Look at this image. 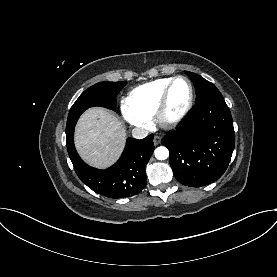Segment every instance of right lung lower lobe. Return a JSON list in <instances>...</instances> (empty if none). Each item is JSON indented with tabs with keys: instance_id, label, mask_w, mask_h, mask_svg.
I'll return each instance as SVG.
<instances>
[{
	"instance_id": "98d812e1",
	"label": "right lung lower lobe",
	"mask_w": 277,
	"mask_h": 277,
	"mask_svg": "<svg viewBox=\"0 0 277 277\" xmlns=\"http://www.w3.org/2000/svg\"><path fill=\"white\" fill-rule=\"evenodd\" d=\"M74 128L66 132L69 157L80 180L94 192L109 198H124L140 193L146 186L145 167L153 151V135L137 140L128 138L118 162L106 170L90 167L74 146Z\"/></svg>"
}]
</instances>
